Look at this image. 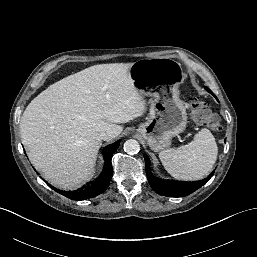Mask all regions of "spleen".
<instances>
[{"label": "spleen", "instance_id": "3e777b00", "mask_svg": "<svg viewBox=\"0 0 257 257\" xmlns=\"http://www.w3.org/2000/svg\"><path fill=\"white\" fill-rule=\"evenodd\" d=\"M218 147L210 130L204 128L193 141L178 148L163 150L159 158L166 171L181 180H199L209 174L216 162Z\"/></svg>", "mask_w": 257, "mask_h": 257}]
</instances>
